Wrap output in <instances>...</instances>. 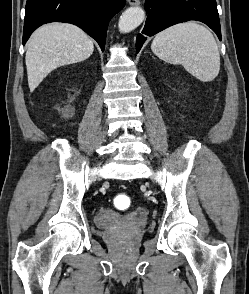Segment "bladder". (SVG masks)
Instances as JSON below:
<instances>
[{
  "mask_svg": "<svg viewBox=\"0 0 249 294\" xmlns=\"http://www.w3.org/2000/svg\"><path fill=\"white\" fill-rule=\"evenodd\" d=\"M121 219L113 217V216H106L105 218H98L100 223H106L105 228H111L116 222L120 221Z\"/></svg>",
  "mask_w": 249,
  "mask_h": 294,
  "instance_id": "1",
  "label": "bladder"
}]
</instances>
